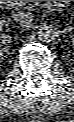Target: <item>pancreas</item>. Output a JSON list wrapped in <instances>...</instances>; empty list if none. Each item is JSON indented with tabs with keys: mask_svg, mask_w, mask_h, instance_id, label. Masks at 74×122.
<instances>
[{
	"mask_svg": "<svg viewBox=\"0 0 74 122\" xmlns=\"http://www.w3.org/2000/svg\"><path fill=\"white\" fill-rule=\"evenodd\" d=\"M35 4H36V1H11V5L15 9H21V8L32 9Z\"/></svg>",
	"mask_w": 74,
	"mask_h": 122,
	"instance_id": "pancreas-1",
	"label": "pancreas"
}]
</instances>
